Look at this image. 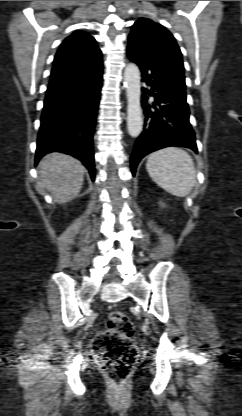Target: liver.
Listing matches in <instances>:
<instances>
[{
    "label": "liver",
    "mask_w": 242,
    "mask_h": 416,
    "mask_svg": "<svg viewBox=\"0 0 242 416\" xmlns=\"http://www.w3.org/2000/svg\"><path fill=\"white\" fill-rule=\"evenodd\" d=\"M85 168L72 156L50 153L39 163V180L54 200L65 204L74 199L82 188Z\"/></svg>",
    "instance_id": "obj_1"
}]
</instances>
